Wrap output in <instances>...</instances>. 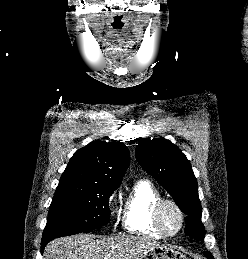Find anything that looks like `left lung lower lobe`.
<instances>
[{
	"label": "left lung lower lobe",
	"instance_id": "obj_1",
	"mask_svg": "<svg viewBox=\"0 0 248 259\" xmlns=\"http://www.w3.org/2000/svg\"><path fill=\"white\" fill-rule=\"evenodd\" d=\"M204 255L207 257V259H214L211 253L209 252H204Z\"/></svg>",
	"mask_w": 248,
	"mask_h": 259
}]
</instances>
